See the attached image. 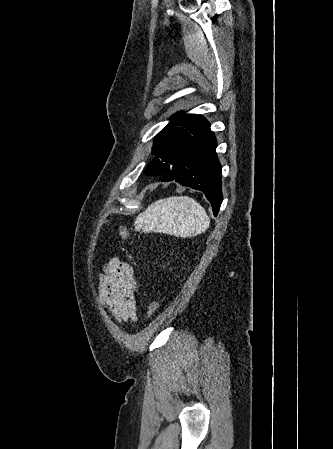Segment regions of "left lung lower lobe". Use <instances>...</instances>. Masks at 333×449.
I'll return each mask as SVG.
<instances>
[{"label":"left lung lower lobe","instance_id":"obj_1","mask_svg":"<svg viewBox=\"0 0 333 449\" xmlns=\"http://www.w3.org/2000/svg\"><path fill=\"white\" fill-rule=\"evenodd\" d=\"M216 139L206 121L185 161L177 168L161 177V181H177L179 184L204 192L216 216L222 203L221 165L215 152ZM155 167L154 160L148 165L145 174L149 175Z\"/></svg>","mask_w":333,"mask_h":449}]
</instances>
